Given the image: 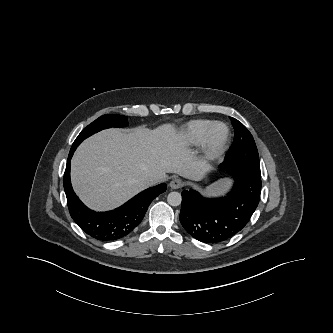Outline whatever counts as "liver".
Listing matches in <instances>:
<instances>
[{"mask_svg": "<svg viewBox=\"0 0 333 333\" xmlns=\"http://www.w3.org/2000/svg\"><path fill=\"white\" fill-rule=\"evenodd\" d=\"M176 173L200 180L204 171L194 153L171 124L149 130L107 129L86 139L71 161V181L79 198L91 209L110 210L156 182Z\"/></svg>", "mask_w": 333, "mask_h": 333, "instance_id": "obj_1", "label": "liver"}]
</instances>
